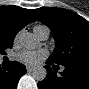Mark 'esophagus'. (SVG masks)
<instances>
[{
  "label": "esophagus",
  "mask_w": 89,
  "mask_h": 89,
  "mask_svg": "<svg viewBox=\"0 0 89 89\" xmlns=\"http://www.w3.org/2000/svg\"><path fill=\"white\" fill-rule=\"evenodd\" d=\"M33 68L31 66H27V72H32Z\"/></svg>",
  "instance_id": "esophagus-1"
}]
</instances>
